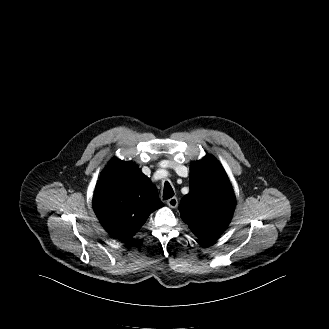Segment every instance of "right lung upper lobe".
Masks as SVG:
<instances>
[{
	"mask_svg": "<svg viewBox=\"0 0 329 329\" xmlns=\"http://www.w3.org/2000/svg\"><path fill=\"white\" fill-rule=\"evenodd\" d=\"M163 207L157 189L132 161L112 159L93 195V208L112 236L128 241L148 216Z\"/></svg>",
	"mask_w": 329,
	"mask_h": 329,
	"instance_id": "obj_1",
	"label": "right lung upper lobe"
}]
</instances>
